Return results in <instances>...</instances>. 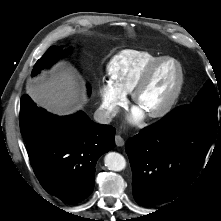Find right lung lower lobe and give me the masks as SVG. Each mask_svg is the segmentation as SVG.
I'll return each instance as SVG.
<instances>
[{"mask_svg":"<svg viewBox=\"0 0 221 221\" xmlns=\"http://www.w3.org/2000/svg\"><path fill=\"white\" fill-rule=\"evenodd\" d=\"M20 130L40 184L68 204L91 194L96 162L115 146L114 127L94 123L83 112L53 115L27 94L20 103Z\"/></svg>","mask_w":221,"mask_h":221,"instance_id":"obj_1","label":"right lung lower lobe"}]
</instances>
